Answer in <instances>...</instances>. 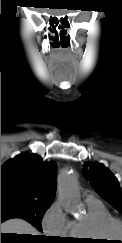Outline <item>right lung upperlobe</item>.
I'll return each mask as SVG.
<instances>
[{"mask_svg":"<svg viewBox=\"0 0 122 243\" xmlns=\"http://www.w3.org/2000/svg\"><path fill=\"white\" fill-rule=\"evenodd\" d=\"M56 163L37 154L21 153L1 166V196L52 202L56 194Z\"/></svg>","mask_w":122,"mask_h":243,"instance_id":"cb5924a9","label":"right lung upper lobe"}]
</instances>
